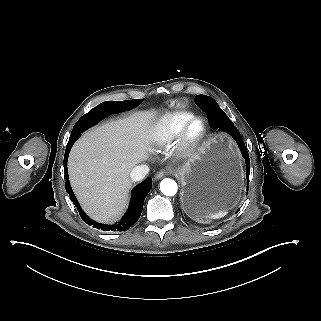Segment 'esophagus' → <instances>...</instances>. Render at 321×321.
I'll use <instances>...</instances> for the list:
<instances>
[{
	"instance_id": "1",
	"label": "esophagus",
	"mask_w": 321,
	"mask_h": 321,
	"mask_svg": "<svg viewBox=\"0 0 321 321\" xmlns=\"http://www.w3.org/2000/svg\"><path fill=\"white\" fill-rule=\"evenodd\" d=\"M166 174L165 171H158L156 174H155V179H161L164 175Z\"/></svg>"
}]
</instances>
